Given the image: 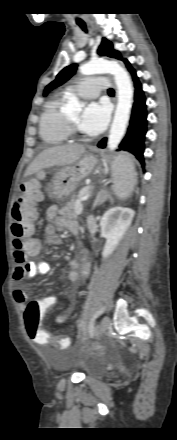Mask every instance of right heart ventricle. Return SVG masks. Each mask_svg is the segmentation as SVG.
<instances>
[{
  "mask_svg": "<svg viewBox=\"0 0 177 440\" xmlns=\"http://www.w3.org/2000/svg\"><path fill=\"white\" fill-rule=\"evenodd\" d=\"M67 91L50 98L41 113L39 121V136L44 144L49 146L60 145L67 141L69 131L65 122L62 106Z\"/></svg>",
  "mask_w": 177,
  "mask_h": 440,
  "instance_id": "e07e8e85",
  "label": "right heart ventricle"
}]
</instances>
